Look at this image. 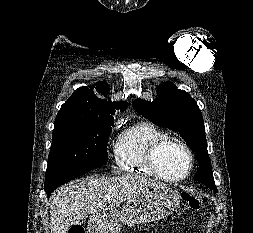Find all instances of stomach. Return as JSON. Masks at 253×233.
Returning a JSON list of instances; mask_svg holds the SVG:
<instances>
[{
    "label": "stomach",
    "instance_id": "1",
    "mask_svg": "<svg viewBox=\"0 0 253 233\" xmlns=\"http://www.w3.org/2000/svg\"><path fill=\"white\" fill-rule=\"evenodd\" d=\"M180 203L178 194L161 185L129 200L120 210H105L91 217L90 233H119L123 224L152 222L174 213Z\"/></svg>",
    "mask_w": 253,
    "mask_h": 233
}]
</instances>
